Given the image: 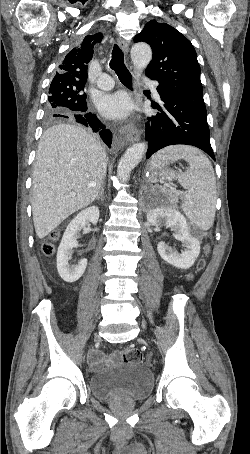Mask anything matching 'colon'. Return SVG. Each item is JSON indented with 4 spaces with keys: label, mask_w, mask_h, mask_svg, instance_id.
Here are the masks:
<instances>
[{
    "label": "colon",
    "mask_w": 250,
    "mask_h": 454,
    "mask_svg": "<svg viewBox=\"0 0 250 454\" xmlns=\"http://www.w3.org/2000/svg\"><path fill=\"white\" fill-rule=\"evenodd\" d=\"M56 238H57V233H53L51 235L50 240L45 242L42 245V251L45 255L50 256L53 254V252H54L53 242L56 240ZM204 266H205V262L203 260H201L198 263V269L201 270V269H203ZM191 278H192V276L189 275L188 279H191ZM120 355L122 356V358L125 362L138 363V362H141L142 358H143L141 352L134 347H126V348L122 349L120 352Z\"/></svg>",
    "instance_id": "1"
}]
</instances>
